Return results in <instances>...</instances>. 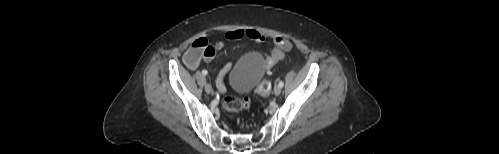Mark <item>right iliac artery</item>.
I'll list each match as a JSON object with an SVG mask.
<instances>
[{
	"mask_svg": "<svg viewBox=\"0 0 499 154\" xmlns=\"http://www.w3.org/2000/svg\"><path fill=\"white\" fill-rule=\"evenodd\" d=\"M202 74L206 76L208 74V72L206 70H203Z\"/></svg>",
	"mask_w": 499,
	"mask_h": 154,
	"instance_id": "right-iliac-artery-1",
	"label": "right iliac artery"
}]
</instances>
